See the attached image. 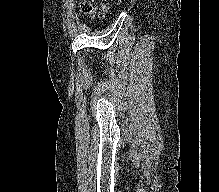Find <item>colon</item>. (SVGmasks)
<instances>
[{"mask_svg": "<svg viewBox=\"0 0 219 192\" xmlns=\"http://www.w3.org/2000/svg\"><path fill=\"white\" fill-rule=\"evenodd\" d=\"M121 0H115L119 3ZM110 8L107 0H84L80 5V11L86 16H96L105 13Z\"/></svg>", "mask_w": 219, "mask_h": 192, "instance_id": "5ec220e1", "label": "colon"}]
</instances>
